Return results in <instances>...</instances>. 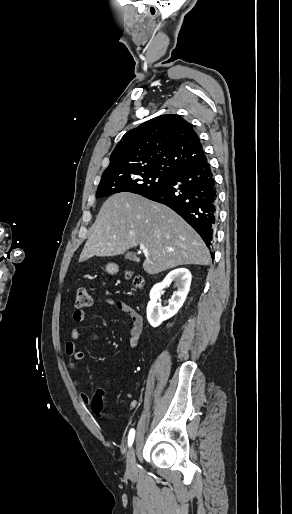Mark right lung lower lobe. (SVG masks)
I'll return each mask as SVG.
<instances>
[{
	"instance_id": "right-lung-lower-lobe-1",
	"label": "right lung lower lobe",
	"mask_w": 292,
	"mask_h": 514,
	"mask_svg": "<svg viewBox=\"0 0 292 514\" xmlns=\"http://www.w3.org/2000/svg\"><path fill=\"white\" fill-rule=\"evenodd\" d=\"M162 203L188 222L210 247L217 218V192L210 165L205 158L183 168L161 186L142 195Z\"/></svg>"
}]
</instances>
